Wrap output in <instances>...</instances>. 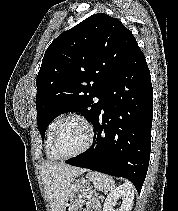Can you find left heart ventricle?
<instances>
[{
	"instance_id": "obj_1",
	"label": "left heart ventricle",
	"mask_w": 178,
	"mask_h": 211,
	"mask_svg": "<svg viewBox=\"0 0 178 211\" xmlns=\"http://www.w3.org/2000/svg\"><path fill=\"white\" fill-rule=\"evenodd\" d=\"M87 141L86 127L77 121L66 123L57 136V149L62 155H70L83 148Z\"/></svg>"
}]
</instances>
